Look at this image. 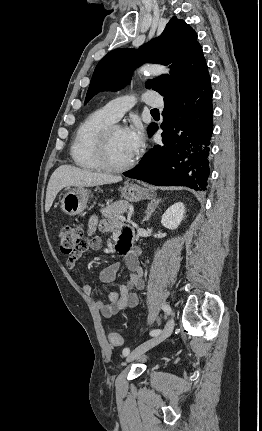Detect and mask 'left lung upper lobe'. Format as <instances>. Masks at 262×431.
Returning <instances> with one entry per match:
<instances>
[{"label":"left lung upper lobe","instance_id":"5c2ea615","mask_svg":"<svg viewBox=\"0 0 262 431\" xmlns=\"http://www.w3.org/2000/svg\"><path fill=\"white\" fill-rule=\"evenodd\" d=\"M145 61L170 65L172 76L162 75L146 82L147 88L164 98L190 91L210 77L197 34L183 20L173 17L160 37L138 50L121 48L105 55L94 70L85 104L100 91L121 89L133 69ZM153 126L148 127L149 135Z\"/></svg>","mask_w":262,"mask_h":431}]
</instances>
